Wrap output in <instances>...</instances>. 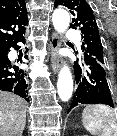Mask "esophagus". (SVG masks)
<instances>
[{
    "label": "esophagus",
    "instance_id": "esophagus-1",
    "mask_svg": "<svg viewBox=\"0 0 117 136\" xmlns=\"http://www.w3.org/2000/svg\"><path fill=\"white\" fill-rule=\"evenodd\" d=\"M59 47L60 39L56 33H53L50 43V59L51 67L54 73L58 72L61 65V59L58 54Z\"/></svg>",
    "mask_w": 117,
    "mask_h": 136
}]
</instances>
